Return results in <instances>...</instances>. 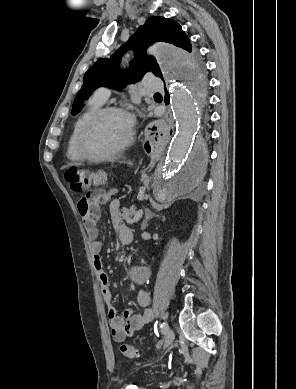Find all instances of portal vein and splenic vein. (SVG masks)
Here are the masks:
<instances>
[{"label": "portal vein and splenic vein", "mask_w": 296, "mask_h": 389, "mask_svg": "<svg viewBox=\"0 0 296 389\" xmlns=\"http://www.w3.org/2000/svg\"><path fill=\"white\" fill-rule=\"evenodd\" d=\"M142 215H143V210H139V211L135 214V216H134V218H133L134 222H137V221L142 217Z\"/></svg>", "instance_id": "obj_1"}]
</instances>
